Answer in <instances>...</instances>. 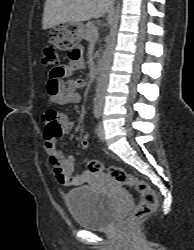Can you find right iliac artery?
Returning a JSON list of instances; mask_svg holds the SVG:
<instances>
[{
    "label": "right iliac artery",
    "mask_w": 194,
    "mask_h": 250,
    "mask_svg": "<svg viewBox=\"0 0 194 250\" xmlns=\"http://www.w3.org/2000/svg\"><path fill=\"white\" fill-rule=\"evenodd\" d=\"M95 117L98 118V117H99V114H95Z\"/></svg>",
    "instance_id": "82829eb1"
}]
</instances>
